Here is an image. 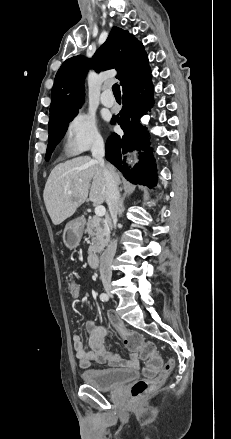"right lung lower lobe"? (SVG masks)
<instances>
[{
	"label": "right lung lower lobe",
	"instance_id": "right-lung-lower-lobe-1",
	"mask_svg": "<svg viewBox=\"0 0 231 439\" xmlns=\"http://www.w3.org/2000/svg\"><path fill=\"white\" fill-rule=\"evenodd\" d=\"M123 107L111 123L121 126L124 135L112 134L106 143V159L115 165L124 177L134 184L149 187L156 185V164L149 147L146 129L140 123V117L150 111L154 103L151 75L123 92ZM143 131L145 132L143 134ZM142 149L140 162L129 170L123 154L128 150Z\"/></svg>",
	"mask_w": 231,
	"mask_h": 439
}]
</instances>
